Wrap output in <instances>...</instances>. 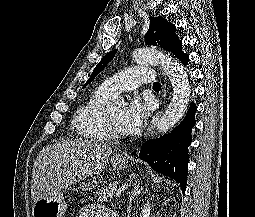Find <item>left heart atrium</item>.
Wrapping results in <instances>:
<instances>
[{
  "label": "left heart atrium",
  "instance_id": "left-heart-atrium-1",
  "mask_svg": "<svg viewBox=\"0 0 255 217\" xmlns=\"http://www.w3.org/2000/svg\"><path fill=\"white\" fill-rule=\"evenodd\" d=\"M150 106L139 99L131 101L122 117L121 129L124 134L134 135L141 131L149 116Z\"/></svg>",
  "mask_w": 255,
  "mask_h": 217
}]
</instances>
